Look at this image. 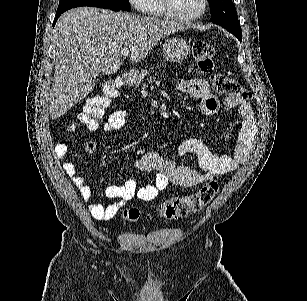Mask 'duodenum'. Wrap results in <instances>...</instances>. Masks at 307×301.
Wrapping results in <instances>:
<instances>
[{
    "instance_id": "obj_1",
    "label": "duodenum",
    "mask_w": 307,
    "mask_h": 301,
    "mask_svg": "<svg viewBox=\"0 0 307 301\" xmlns=\"http://www.w3.org/2000/svg\"><path fill=\"white\" fill-rule=\"evenodd\" d=\"M125 78H126L127 82H129V83H131L133 81V76L130 73L126 74Z\"/></svg>"
}]
</instances>
